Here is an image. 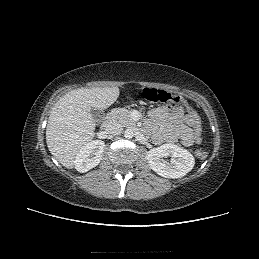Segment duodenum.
Instances as JSON below:
<instances>
[{
  "label": "duodenum",
  "instance_id": "obj_1",
  "mask_svg": "<svg viewBox=\"0 0 259 259\" xmlns=\"http://www.w3.org/2000/svg\"><path fill=\"white\" fill-rule=\"evenodd\" d=\"M113 116L112 114H108L102 123V129H108L112 125Z\"/></svg>",
  "mask_w": 259,
  "mask_h": 259
}]
</instances>
